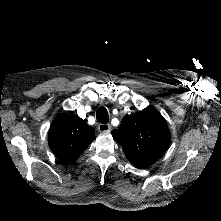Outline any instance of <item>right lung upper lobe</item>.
<instances>
[{
  "label": "right lung upper lobe",
  "mask_w": 221,
  "mask_h": 221,
  "mask_svg": "<svg viewBox=\"0 0 221 221\" xmlns=\"http://www.w3.org/2000/svg\"><path fill=\"white\" fill-rule=\"evenodd\" d=\"M94 139V129L74 114L59 115L48 135L50 149L65 164L76 161Z\"/></svg>",
  "instance_id": "cb5924a9"
}]
</instances>
